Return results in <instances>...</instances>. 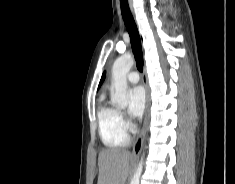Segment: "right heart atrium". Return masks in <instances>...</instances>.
I'll list each match as a JSON object with an SVG mask.
<instances>
[{
    "label": "right heart atrium",
    "mask_w": 235,
    "mask_h": 184,
    "mask_svg": "<svg viewBox=\"0 0 235 184\" xmlns=\"http://www.w3.org/2000/svg\"><path fill=\"white\" fill-rule=\"evenodd\" d=\"M119 116H120V121H121L122 125L125 127V129L129 128V124H128V121H127L125 114L120 113Z\"/></svg>",
    "instance_id": "d8ad5b80"
}]
</instances>
